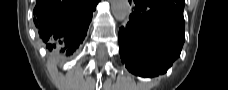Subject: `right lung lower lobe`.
Wrapping results in <instances>:
<instances>
[{
	"label": "right lung lower lobe",
	"mask_w": 228,
	"mask_h": 90,
	"mask_svg": "<svg viewBox=\"0 0 228 90\" xmlns=\"http://www.w3.org/2000/svg\"><path fill=\"white\" fill-rule=\"evenodd\" d=\"M34 24L46 48L70 56L83 42L99 0H36Z\"/></svg>",
	"instance_id": "1"
}]
</instances>
